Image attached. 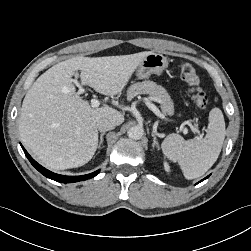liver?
Wrapping results in <instances>:
<instances>
[{"instance_id": "6515ba94", "label": "liver", "mask_w": 251, "mask_h": 251, "mask_svg": "<svg viewBox=\"0 0 251 251\" xmlns=\"http://www.w3.org/2000/svg\"><path fill=\"white\" fill-rule=\"evenodd\" d=\"M151 52L107 57H75L44 72L22 103L19 132L26 148L47 167L56 170L88 163L98 147L97 120L119 125L124 117L104 106L92 108L76 95L72 77L103 95L121 93L142 60Z\"/></svg>"}]
</instances>
